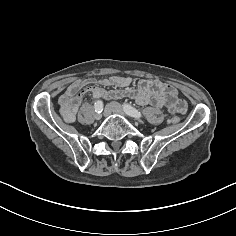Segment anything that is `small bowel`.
Here are the masks:
<instances>
[{
    "label": "small bowel",
    "instance_id": "small-bowel-1",
    "mask_svg": "<svg viewBox=\"0 0 236 236\" xmlns=\"http://www.w3.org/2000/svg\"><path fill=\"white\" fill-rule=\"evenodd\" d=\"M100 86H95V84ZM132 79L127 76H111L95 80L93 78L75 80L69 84L59 98V106L62 117L66 122L74 121L79 105L86 93L94 98H132L139 105H152L156 108H166L172 113H185L187 104L178 99L177 91L170 84L156 79H142L136 87H130ZM103 87H113L106 90Z\"/></svg>",
    "mask_w": 236,
    "mask_h": 236
}]
</instances>
